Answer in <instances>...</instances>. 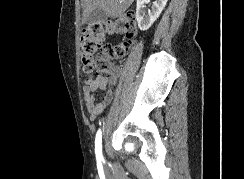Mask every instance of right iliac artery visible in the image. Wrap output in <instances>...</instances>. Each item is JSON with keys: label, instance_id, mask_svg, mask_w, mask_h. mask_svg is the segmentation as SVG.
Returning a JSON list of instances; mask_svg holds the SVG:
<instances>
[{"label": "right iliac artery", "instance_id": "82829eb1", "mask_svg": "<svg viewBox=\"0 0 244 179\" xmlns=\"http://www.w3.org/2000/svg\"><path fill=\"white\" fill-rule=\"evenodd\" d=\"M95 154L98 161L103 160L102 156V132L99 129L95 139Z\"/></svg>", "mask_w": 244, "mask_h": 179}]
</instances>
